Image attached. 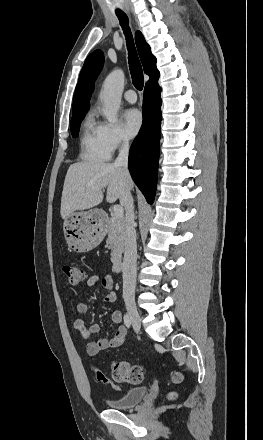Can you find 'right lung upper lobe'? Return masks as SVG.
I'll use <instances>...</instances> for the list:
<instances>
[{"mask_svg": "<svg viewBox=\"0 0 263 440\" xmlns=\"http://www.w3.org/2000/svg\"><path fill=\"white\" fill-rule=\"evenodd\" d=\"M135 41L144 72L150 77L148 82L159 78L156 58L152 55L150 46L146 43L141 32H136ZM103 62L104 56L101 50L94 51L86 59L73 97V117L87 113L90 107L89 100L94 88V81L103 66Z\"/></svg>", "mask_w": 263, "mask_h": 440, "instance_id": "1", "label": "right lung upper lobe"}]
</instances>
